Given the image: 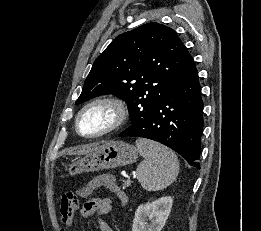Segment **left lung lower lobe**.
<instances>
[{"instance_id":"1","label":"left lung lower lobe","mask_w":261,"mask_h":231,"mask_svg":"<svg viewBox=\"0 0 261 231\" xmlns=\"http://www.w3.org/2000/svg\"><path fill=\"white\" fill-rule=\"evenodd\" d=\"M203 101L198 71L176 85L141 121L122 131L119 137H143L160 142L200 168L203 132Z\"/></svg>"}]
</instances>
